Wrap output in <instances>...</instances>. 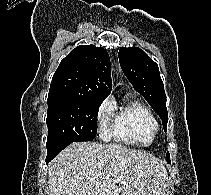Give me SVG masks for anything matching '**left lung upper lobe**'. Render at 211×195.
Here are the masks:
<instances>
[{
	"instance_id": "obj_1",
	"label": "left lung upper lobe",
	"mask_w": 211,
	"mask_h": 195,
	"mask_svg": "<svg viewBox=\"0 0 211 195\" xmlns=\"http://www.w3.org/2000/svg\"><path fill=\"white\" fill-rule=\"evenodd\" d=\"M118 57L120 66L133 88L159 115L166 131L168 122L166 94L157 63L138 47H122ZM166 160L170 163L169 152L166 154Z\"/></svg>"
}]
</instances>
